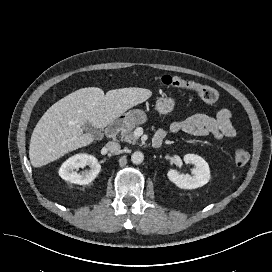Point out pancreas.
<instances>
[{"instance_id":"pancreas-1","label":"pancreas","mask_w":272,"mask_h":272,"mask_svg":"<svg viewBox=\"0 0 272 272\" xmlns=\"http://www.w3.org/2000/svg\"><path fill=\"white\" fill-rule=\"evenodd\" d=\"M134 128L135 125H128L126 128H124L120 133L121 141L135 144L137 142L138 137H136L133 133Z\"/></svg>"}]
</instances>
